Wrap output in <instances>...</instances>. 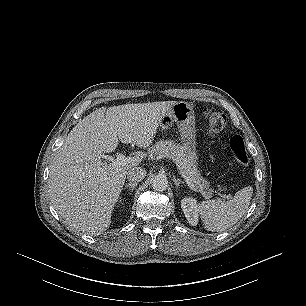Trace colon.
<instances>
[{"label": "colon", "instance_id": "5ec220e1", "mask_svg": "<svg viewBox=\"0 0 306 306\" xmlns=\"http://www.w3.org/2000/svg\"><path fill=\"white\" fill-rule=\"evenodd\" d=\"M203 117L210 135L220 133L226 126V116L214 109L206 108ZM229 148L235 160L241 165H247L249 154L241 136L234 135L229 139Z\"/></svg>", "mask_w": 306, "mask_h": 306}]
</instances>
